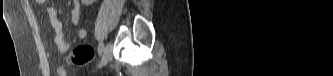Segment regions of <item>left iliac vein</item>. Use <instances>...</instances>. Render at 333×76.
I'll return each instance as SVG.
<instances>
[{
	"label": "left iliac vein",
	"instance_id": "left-iliac-vein-1",
	"mask_svg": "<svg viewBox=\"0 0 333 76\" xmlns=\"http://www.w3.org/2000/svg\"><path fill=\"white\" fill-rule=\"evenodd\" d=\"M112 50H113L112 43L111 42L107 43L103 49L102 57L98 64V67L106 65L112 59Z\"/></svg>",
	"mask_w": 333,
	"mask_h": 76
}]
</instances>
